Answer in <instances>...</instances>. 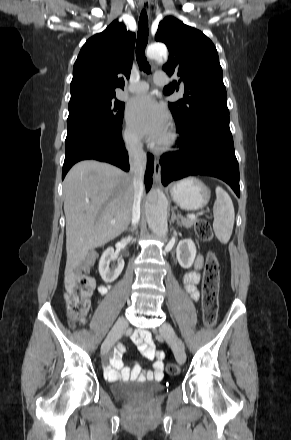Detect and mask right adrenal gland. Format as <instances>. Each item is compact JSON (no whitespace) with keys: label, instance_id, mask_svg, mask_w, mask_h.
Returning <instances> with one entry per match:
<instances>
[{"label":"right adrenal gland","instance_id":"1","mask_svg":"<svg viewBox=\"0 0 291 440\" xmlns=\"http://www.w3.org/2000/svg\"><path fill=\"white\" fill-rule=\"evenodd\" d=\"M127 231H133L134 230V228H128V229H126Z\"/></svg>","mask_w":291,"mask_h":440}]
</instances>
